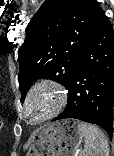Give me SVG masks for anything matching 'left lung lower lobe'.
<instances>
[{
	"mask_svg": "<svg viewBox=\"0 0 114 156\" xmlns=\"http://www.w3.org/2000/svg\"><path fill=\"white\" fill-rule=\"evenodd\" d=\"M68 103L53 119H79L113 132L114 29L100 8L82 45L68 86Z\"/></svg>",
	"mask_w": 114,
	"mask_h": 156,
	"instance_id": "obj_1",
	"label": "left lung lower lobe"
}]
</instances>
